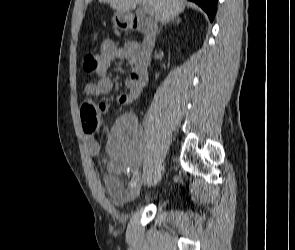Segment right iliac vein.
Segmentation results:
<instances>
[{"label": "right iliac vein", "instance_id": "obj_1", "mask_svg": "<svg viewBox=\"0 0 295 250\" xmlns=\"http://www.w3.org/2000/svg\"><path fill=\"white\" fill-rule=\"evenodd\" d=\"M141 187H142V182H138L132 187L131 191L128 194V200L130 202H134L138 198L141 191Z\"/></svg>", "mask_w": 295, "mask_h": 250}]
</instances>
